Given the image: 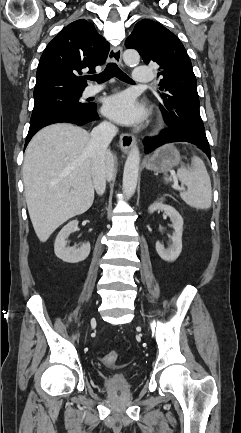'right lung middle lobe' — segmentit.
<instances>
[{"label": "right lung middle lobe", "instance_id": "1", "mask_svg": "<svg viewBox=\"0 0 241 433\" xmlns=\"http://www.w3.org/2000/svg\"><path fill=\"white\" fill-rule=\"evenodd\" d=\"M82 91H58L34 97L35 103L30 122L59 109L86 106L79 102Z\"/></svg>", "mask_w": 241, "mask_h": 433}]
</instances>
